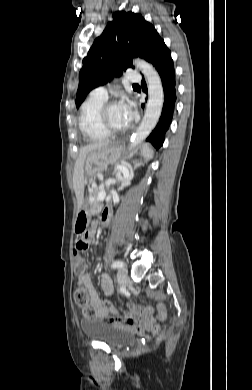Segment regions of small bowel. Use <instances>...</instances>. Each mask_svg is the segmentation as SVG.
<instances>
[{
	"mask_svg": "<svg viewBox=\"0 0 252 390\" xmlns=\"http://www.w3.org/2000/svg\"><path fill=\"white\" fill-rule=\"evenodd\" d=\"M111 218V210L109 208L103 209L101 213V222L103 225H107ZM96 229V224H93L92 228L87 232L88 243L90 242ZM78 284L84 286L89 294L90 305L96 312V318L105 319L109 316L110 312L115 310L112 306H108L104 303L94 287L91 277L88 274H82L78 277ZM101 287L106 296H111L114 292L112 280L106 273L101 275ZM159 314L156 317L158 321L165 318L166 312L162 305L158 308ZM121 313L124 316V322L120 324L130 330L137 333H145L151 330L158 329V324L153 327V321L155 319L153 310L150 306H138L134 302H129L127 309H121Z\"/></svg>",
	"mask_w": 252,
	"mask_h": 390,
	"instance_id": "obj_1",
	"label": "small bowel"
}]
</instances>
